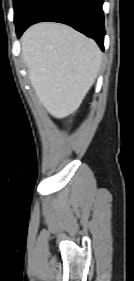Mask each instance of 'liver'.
<instances>
[{"label":"liver","mask_w":134,"mask_h":281,"mask_svg":"<svg viewBox=\"0 0 134 281\" xmlns=\"http://www.w3.org/2000/svg\"><path fill=\"white\" fill-rule=\"evenodd\" d=\"M21 45L42 106L57 119L72 114L100 70L102 52L97 43L67 25L43 22L24 32Z\"/></svg>","instance_id":"obj_1"}]
</instances>
